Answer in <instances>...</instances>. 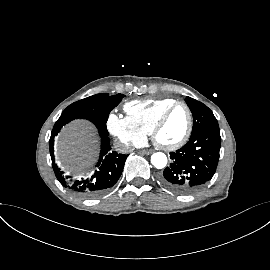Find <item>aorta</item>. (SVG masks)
<instances>
[{"instance_id":"762f6f07","label":"aorta","mask_w":270,"mask_h":270,"mask_svg":"<svg viewBox=\"0 0 270 270\" xmlns=\"http://www.w3.org/2000/svg\"><path fill=\"white\" fill-rule=\"evenodd\" d=\"M151 163L157 169H162L167 165V157L162 152H156L151 156Z\"/></svg>"}]
</instances>
